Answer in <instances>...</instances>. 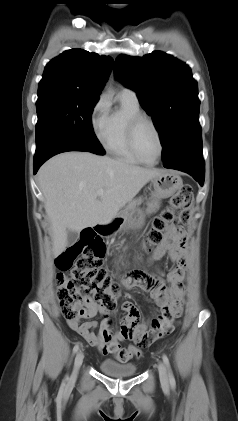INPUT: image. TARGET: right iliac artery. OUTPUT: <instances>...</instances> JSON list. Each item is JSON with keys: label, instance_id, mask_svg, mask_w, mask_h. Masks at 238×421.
Returning a JSON list of instances; mask_svg holds the SVG:
<instances>
[{"label": "right iliac artery", "instance_id": "82829eb1", "mask_svg": "<svg viewBox=\"0 0 238 421\" xmlns=\"http://www.w3.org/2000/svg\"><path fill=\"white\" fill-rule=\"evenodd\" d=\"M79 350V343H77L73 348V354H75Z\"/></svg>", "mask_w": 238, "mask_h": 421}]
</instances>
